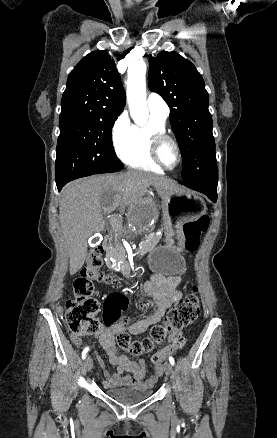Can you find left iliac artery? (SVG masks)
I'll list each match as a JSON object with an SVG mask.
<instances>
[{
    "label": "left iliac artery",
    "mask_w": 277,
    "mask_h": 438,
    "mask_svg": "<svg viewBox=\"0 0 277 438\" xmlns=\"http://www.w3.org/2000/svg\"><path fill=\"white\" fill-rule=\"evenodd\" d=\"M169 361H170V363L172 364V365H174L175 364V361H174V358L173 357H169Z\"/></svg>",
    "instance_id": "44dca946"
}]
</instances>
